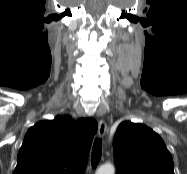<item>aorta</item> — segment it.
Instances as JSON below:
<instances>
[{"label": "aorta", "instance_id": "obj_1", "mask_svg": "<svg viewBox=\"0 0 187 174\" xmlns=\"http://www.w3.org/2000/svg\"><path fill=\"white\" fill-rule=\"evenodd\" d=\"M96 174H115V168L112 164H104L99 167Z\"/></svg>", "mask_w": 187, "mask_h": 174}]
</instances>
